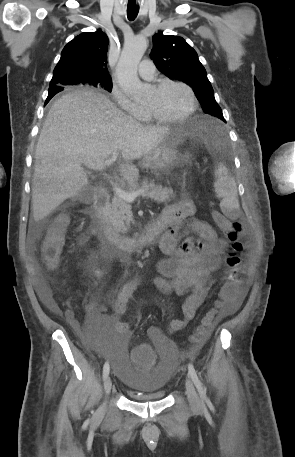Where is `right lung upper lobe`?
<instances>
[{
	"mask_svg": "<svg viewBox=\"0 0 295 457\" xmlns=\"http://www.w3.org/2000/svg\"><path fill=\"white\" fill-rule=\"evenodd\" d=\"M108 44V37L102 31L84 32L76 36L62 50L50 87L63 89L66 85L110 81L107 69Z\"/></svg>",
	"mask_w": 295,
	"mask_h": 457,
	"instance_id": "cb5924a9",
	"label": "right lung upper lobe"
}]
</instances>
